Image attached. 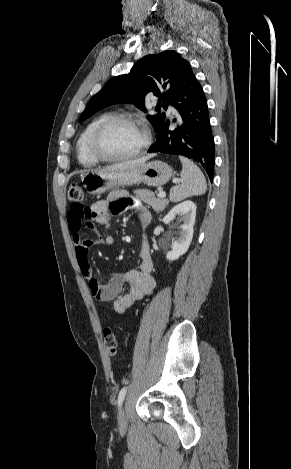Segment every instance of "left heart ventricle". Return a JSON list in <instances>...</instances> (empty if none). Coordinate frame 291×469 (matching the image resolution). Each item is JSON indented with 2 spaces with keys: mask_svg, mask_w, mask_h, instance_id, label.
I'll use <instances>...</instances> for the list:
<instances>
[{
  "mask_svg": "<svg viewBox=\"0 0 291 469\" xmlns=\"http://www.w3.org/2000/svg\"><path fill=\"white\" fill-rule=\"evenodd\" d=\"M144 141V132L138 126L118 122L110 126L103 136V148L112 156L127 155L138 149Z\"/></svg>",
  "mask_w": 291,
  "mask_h": 469,
  "instance_id": "obj_1",
  "label": "left heart ventricle"
}]
</instances>
